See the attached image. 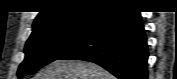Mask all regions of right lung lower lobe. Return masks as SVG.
<instances>
[{"instance_id":"right-lung-lower-lobe-1","label":"right lung lower lobe","mask_w":177,"mask_h":79,"mask_svg":"<svg viewBox=\"0 0 177 79\" xmlns=\"http://www.w3.org/2000/svg\"><path fill=\"white\" fill-rule=\"evenodd\" d=\"M94 62L119 79H147L148 48L140 12L107 10L85 39L58 60Z\"/></svg>"}]
</instances>
